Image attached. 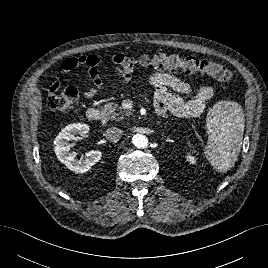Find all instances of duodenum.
Segmentation results:
<instances>
[{"label":"duodenum","instance_id":"obj_1","mask_svg":"<svg viewBox=\"0 0 268 268\" xmlns=\"http://www.w3.org/2000/svg\"><path fill=\"white\" fill-rule=\"evenodd\" d=\"M88 117L95 121H102L105 118V113L101 109L89 108Z\"/></svg>","mask_w":268,"mask_h":268}]
</instances>
